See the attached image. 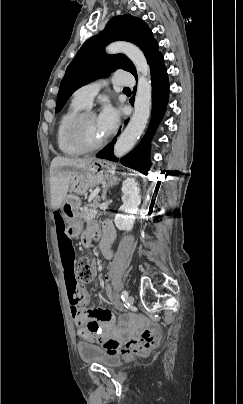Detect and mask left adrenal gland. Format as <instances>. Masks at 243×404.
Returning a JSON list of instances; mask_svg holds the SVG:
<instances>
[{"label":"left adrenal gland","mask_w":243,"mask_h":404,"mask_svg":"<svg viewBox=\"0 0 243 404\" xmlns=\"http://www.w3.org/2000/svg\"><path fill=\"white\" fill-rule=\"evenodd\" d=\"M118 180L119 178H117V176H111L110 180L107 182V186H104L102 190V200H106L108 188H110V186H116V184H118Z\"/></svg>","instance_id":"obj_1"}]
</instances>
